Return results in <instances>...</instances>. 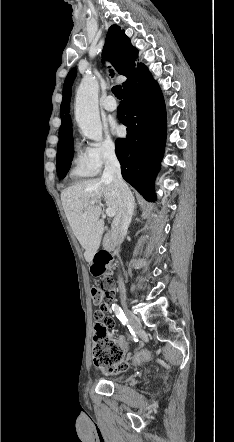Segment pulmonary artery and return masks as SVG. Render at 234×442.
Segmentation results:
<instances>
[{
	"label": "pulmonary artery",
	"mask_w": 234,
	"mask_h": 442,
	"mask_svg": "<svg viewBox=\"0 0 234 442\" xmlns=\"http://www.w3.org/2000/svg\"><path fill=\"white\" fill-rule=\"evenodd\" d=\"M102 106L106 111L112 112L117 109V102L112 96H107L102 102Z\"/></svg>",
	"instance_id": "1"
}]
</instances>
